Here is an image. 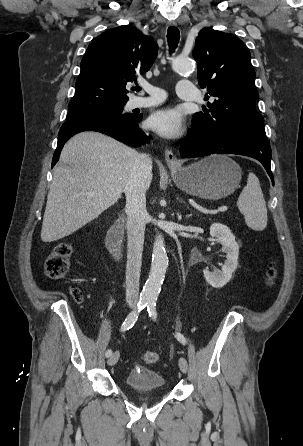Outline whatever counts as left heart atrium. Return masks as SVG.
<instances>
[{"instance_id": "1", "label": "left heart atrium", "mask_w": 303, "mask_h": 446, "mask_svg": "<svg viewBox=\"0 0 303 446\" xmlns=\"http://www.w3.org/2000/svg\"><path fill=\"white\" fill-rule=\"evenodd\" d=\"M148 125L167 138L179 137L184 131L183 116L175 108H165L154 112L148 119Z\"/></svg>"}]
</instances>
